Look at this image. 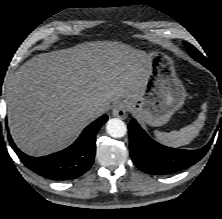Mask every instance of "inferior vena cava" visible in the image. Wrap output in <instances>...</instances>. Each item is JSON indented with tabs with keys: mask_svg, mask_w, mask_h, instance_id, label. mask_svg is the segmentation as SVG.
I'll return each instance as SVG.
<instances>
[{
	"mask_svg": "<svg viewBox=\"0 0 222 219\" xmlns=\"http://www.w3.org/2000/svg\"><path fill=\"white\" fill-rule=\"evenodd\" d=\"M105 112H106V109L104 107H95L92 109V114L96 116H100Z\"/></svg>",
	"mask_w": 222,
	"mask_h": 219,
	"instance_id": "inferior-vena-cava-1",
	"label": "inferior vena cava"
}]
</instances>
